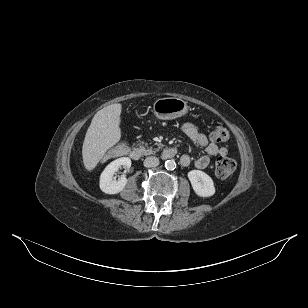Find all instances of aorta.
<instances>
[{"instance_id": "1", "label": "aorta", "mask_w": 308, "mask_h": 308, "mask_svg": "<svg viewBox=\"0 0 308 308\" xmlns=\"http://www.w3.org/2000/svg\"><path fill=\"white\" fill-rule=\"evenodd\" d=\"M176 167L175 161L174 160H167L165 161V168L167 170H174Z\"/></svg>"}]
</instances>
